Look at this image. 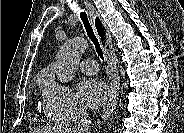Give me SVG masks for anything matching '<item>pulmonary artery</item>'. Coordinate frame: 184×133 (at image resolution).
<instances>
[{
  "label": "pulmonary artery",
  "instance_id": "obj_1",
  "mask_svg": "<svg viewBox=\"0 0 184 133\" xmlns=\"http://www.w3.org/2000/svg\"><path fill=\"white\" fill-rule=\"evenodd\" d=\"M80 69L85 74H95L98 70V67L94 59L87 58L81 61Z\"/></svg>",
  "mask_w": 184,
  "mask_h": 133
}]
</instances>
